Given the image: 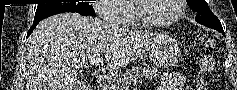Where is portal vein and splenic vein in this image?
Here are the masks:
<instances>
[{"mask_svg":"<svg viewBox=\"0 0 237 90\" xmlns=\"http://www.w3.org/2000/svg\"><path fill=\"white\" fill-rule=\"evenodd\" d=\"M91 64H93V66H99L98 60H93V62H91Z\"/></svg>","mask_w":237,"mask_h":90,"instance_id":"1","label":"portal vein and splenic vein"}]
</instances>
